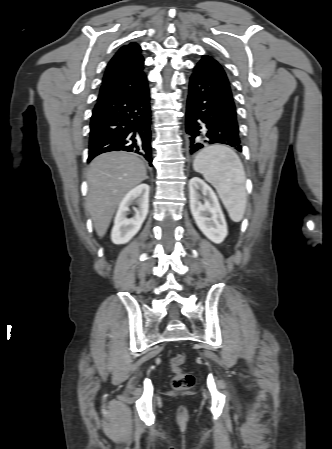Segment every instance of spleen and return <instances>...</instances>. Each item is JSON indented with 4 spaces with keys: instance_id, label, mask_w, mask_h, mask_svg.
<instances>
[{
    "instance_id": "spleen-1",
    "label": "spleen",
    "mask_w": 332,
    "mask_h": 449,
    "mask_svg": "<svg viewBox=\"0 0 332 449\" xmlns=\"http://www.w3.org/2000/svg\"><path fill=\"white\" fill-rule=\"evenodd\" d=\"M193 168L215 187L231 220L240 222L247 197L245 171L238 155L229 147L212 145L196 155Z\"/></svg>"
}]
</instances>
